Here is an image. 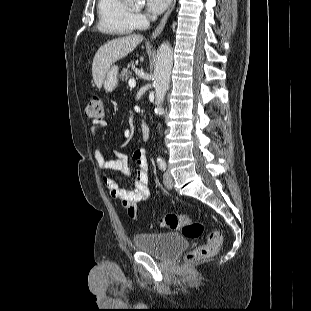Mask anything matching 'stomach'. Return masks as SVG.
<instances>
[{"mask_svg":"<svg viewBox=\"0 0 311 311\" xmlns=\"http://www.w3.org/2000/svg\"><path fill=\"white\" fill-rule=\"evenodd\" d=\"M118 85V67L112 66L105 75L103 86L106 92H112Z\"/></svg>","mask_w":311,"mask_h":311,"instance_id":"1","label":"stomach"}]
</instances>
